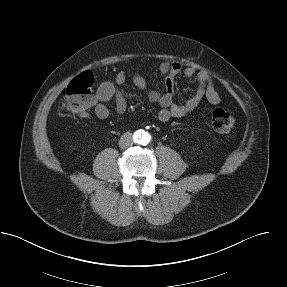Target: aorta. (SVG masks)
I'll list each match as a JSON object with an SVG mask.
<instances>
[{"instance_id": "1", "label": "aorta", "mask_w": 287, "mask_h": 287, "mask_svg": "<svg viewBox=\"0 0 287 287\" xmlns=\"http://www.w3.org/2000/svg\"><path fill=\"white\" fill-rule=\"evenodd\" d=\"M151 136L147 132H140V139L139 142L142 144H148L150 142Z\"/></svg>"}]
</instances>
